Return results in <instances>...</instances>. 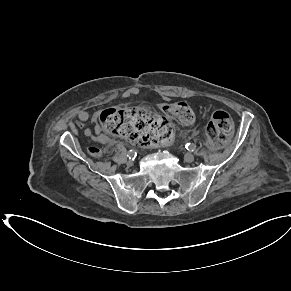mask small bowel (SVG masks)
Masks as SVG:
<instances>
[{
	"label": "small bowel",
	"instance_id": "small-bowel-1",
	"mask_svg": "<svg viewBox=\"0 0 291 291\" xmlns=\"http://www.w3.org/2000/svg\"><path fill=\"white\" fill-rule=\"evenodd\" d=\"M89 119H90V114L87 111L82 110L78 113V119H77L76 124L77 126L82 127L83 123L88 121ZM84 135L102 145H109L112 143V139L106 134H103L97 125L95 126V133H93L89 128H85ZM95 148L96 147H89L88 151Z\"/></svg>",
	"mask_w": 291,
	"mask_h": 291
}]
</instances>
